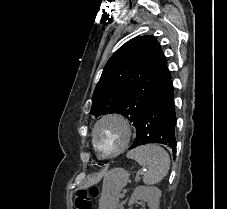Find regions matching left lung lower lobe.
<instances>
[{"label":"left lung lower lobe","instance_id":"left-lung-lower-lobe-1","mask_svg":"<svg viewBox=\"0 0 227 209\" xmlns=\"http://www.w3.org/2000/svg\"><path fill=\"white\" fill-rule=\"evenodd\" d=\"M176 114L173 85L170 80L163 90L150 101L136 126V139L129 149L150 143L167 145L176 153Z\"/></svg>","mask_w":227,"mask_h":209}]
</instances>
